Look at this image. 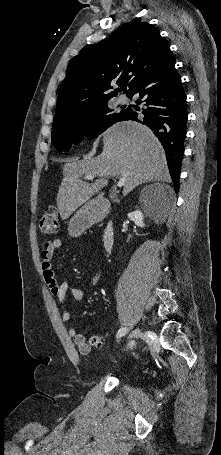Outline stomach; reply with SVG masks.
Listing matches in <instances>:
<instances>
[{"instance_id": "0dacf381", "label": "stomach", "mask_w": 221, "mask_h": 455, "mask_svg": "<svg viewBox=\"0 0 221 455\" xmlns=\"http://www.w3.org/2000/svg\"><path fill=\"white\" fill-rule=\"evenodd\" d=\"M99 200H92L77 210L68 222V232L73 237L80 236L101 216Z\"/></svg>"}]
</instances>
